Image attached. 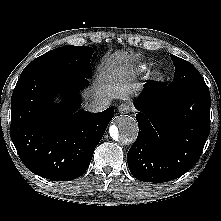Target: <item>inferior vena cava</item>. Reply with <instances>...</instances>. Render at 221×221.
<instances>
[{
	"mask_svg": "<svg viewBox=\"0 0 221 221\" xmlns=\"http://www.w3.org/2000/svg\"><path fill=\"white\" fill-rule=\"evenodd\" d=\"M110 100L107 98H101L93 101L89 104L88 110L91 112H101L107 109L110 105Z\"/></svg>",
	"mask_w": 221,
	"mask_h": 221,
	"instance_id": "obj_1",
	"label": "inferior vena cava"
}]
</instances>
